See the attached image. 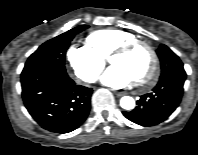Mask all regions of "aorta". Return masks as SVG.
Returning <instances> with one entry per match:
<instances>
[{
	"label": "aorta",
	"instance_id": "762f6f07",
	"mask_svg": "<svg viewBox=\"0 0 198 155\" xmlns=\"http://www.w3.org/2000/svg\"><path fill=\"white\" fill-rule=\"evenodd\" d=\"M120 106L125 110H132L135 107V100L130 96H124L120 100Z\"/></svg>",
	"mask_w": 198,
	"mask_h": 155
}]
</instances>
